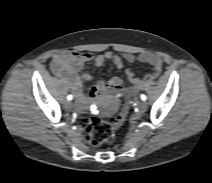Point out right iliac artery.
Listing matches in <instances>:
<instances>
[{
  "label": "right iliac artery",
  "mask_w": 212,
  "mask_h": 183,
  "mask_svg": "<svg viewBox=\"0 0 212 183\" xmlns=\"http://www.w3.org/2000/svg\"><path fill=\"white\" fill-rule=\"evenodd\" d=\"M73 99V96L72 95H68L67 96V100H72Z\"/></svg>",
  "instance_id": "1"
}]
</instances>
